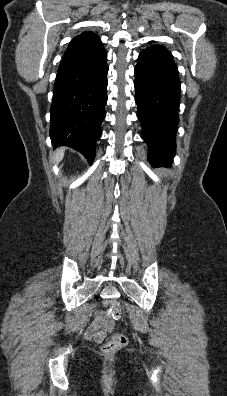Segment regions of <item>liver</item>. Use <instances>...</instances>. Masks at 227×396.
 <instances>
[{"mask_svg": "<svg viewBox=\"0 0 227 396\" xmlns=\"http://www.w3.org/2000/svg\"><path fill=\"white\" fill-rule=\"evenodd\" d=\"M64 156V149L60 148L55 152V160L56 162H60Z\"/></svg>", "mask_w": 227, "mask_h": 396, "instance_id": "liver-1", "label": "liver"}]
</instances>
